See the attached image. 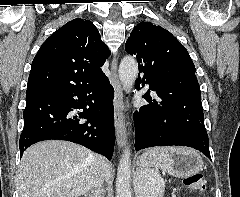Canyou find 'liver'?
Returning a JSON list of instances; mask_svg holds the SVG:
<instances>
[{
    "label": "liver",
    "instance_id": "obj_1",
    "mask_svg": "<svg viewBox=\"0 0 240 197\" xmlns=\"http://www.w3.org/2000/svg\"><path fill=\"white\" fill-rule=\"evenodd\" d=\"M98 155L68 141L48 140L30 146L16 174L19 197H80L93 186ZM107 176L112 167L107 164Z\"/></svg>",
    "mask_w": 240,
    "mask_h": 197
}]
</instances>
